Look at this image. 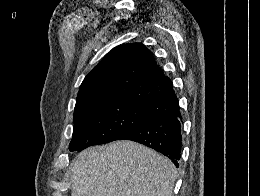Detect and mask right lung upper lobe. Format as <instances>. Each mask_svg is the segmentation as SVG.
<instances>
[{"label": "right lung upper lobe", "instance_id": "right-lung-upper-lobe-1", "mask_svg": "<svg viewBox=\"0 0 260 196\" xmlns=\"http://www.w3.org/2000/svg\"><path fill=\"white\" fill-rule=\"evenodd\" d=\"M150 52L141 43L117 46L84 78L76 106L106 101L142 105L172 88Z\"/></svg>", "mask_w": 260, "mask_h": 196}]
</instances>
